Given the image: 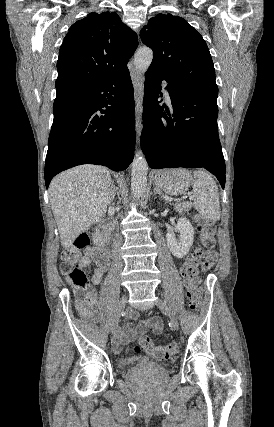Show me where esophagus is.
<instances>
[{"mask_svg": "<svg viewBox=\"0 0 274 427\" xmlns=\"http://www.w3.org/2000/svg\"><path fill=\"white\" fill-rule=\"evenodd\" d=\"M130 75L134 87V97H135V121L136 129L138 135L141 132V119H142V102H143V83L144 77L135 69L130 70Z\"/></svg>", "mask_w": 274, "mask_h": 427, "instance_id": "esophagus-1", "label": "esophagus"}]
</instances>
